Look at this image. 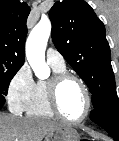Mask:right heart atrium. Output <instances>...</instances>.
I'll list each match as a JSON object with an SVG mask.
<instances>
[{
    "instance_id": "d8ad5b80",
    "label": "right heart atrium",
    "mask_w": 119,
    "mask_h": 141,
    "mask_svg": "<svg viewBox=\"0 0 119 141\" xmlns=\"http://www.w3.org/2000/svg\"><path fill=\"white\" fill-rule=\"evenodd\" d=\"M35 89V81L28 64H23L11 78L7 99L11 110L21 113L26 110Z\"/></svg>"
}]
</instances>
